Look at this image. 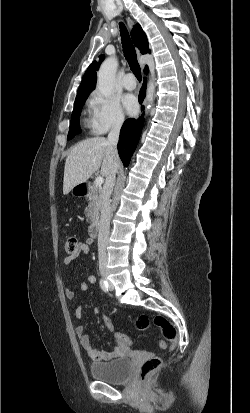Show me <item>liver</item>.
<instances>
[{
	"label": "liver",
	"instance_id": "liver-1",
	"mask_svg": "<svg viewBox=\"0 0 250 413\" xmlns=\"http://www.w3.org/2000/svg\"><path fill=\"white\" fill-rule=\"evenodd\" d=\"M101 167V175L108 177L112 170H118L120 159L103 137H93L76 144L66 158L63 179V194L86 182Z\"/></svg>",
	"mask_w": 250,
	"mask_h": 413
}]
</instances>
